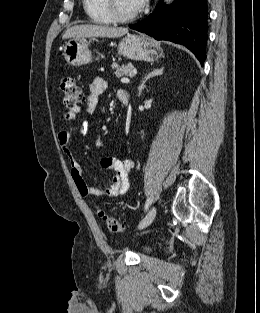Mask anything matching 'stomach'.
Instances as JSON below:
<instances>
[{
	"label": "stomach",
	"mask_w": 260,
	"mask_h": 313,
	"mask_svg": "<svg viewBox=\"0 0 260 313\" xmlns=\"http://www.w3.org/2000/svg\"><path fill=\"white\" fill-rule=\"evenodd\" d=\"M89 42L85 38H72L64 46L63 56L71 66L92 61ZM118 53L133 60L152 62L162 56L160 45L145 35L128 34L118 45Z\"/></svg>",
	"instance_id": "stomach-1"
}]
</instances>
